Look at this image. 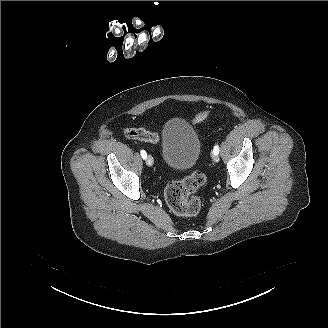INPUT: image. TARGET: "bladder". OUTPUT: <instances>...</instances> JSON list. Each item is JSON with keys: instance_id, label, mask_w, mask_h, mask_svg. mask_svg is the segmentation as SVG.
<instances>
[{"instance_id": "1", "label": "bladder", "mask_w": 328, "mask_h": 328, "mask_svg": "<svg viewBox=\"0 0 328 328\" xmlns=\"http://www.w3.org/2000/svg\"><path fill=\"white\" fill-rule=\"evenodd\" d=\"M185 123L169 120L164 128L161 144L163 162L175 170H185L192 167L199 152V137L196 131L191 134L181 130Z\"/></svg>"}]
</instances>
